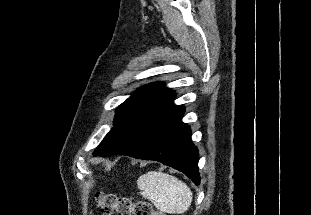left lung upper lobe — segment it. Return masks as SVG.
I'll return each instance as SVG.
<instances>
[{
	"instance_id": "5c2ea615",
	"label": "left lung upper lobe",
	"mask_w": 311,
	"mask_h": 215,
	"mask_svg": "<svg viewBox=\"0 0 311 215\" xmlns=\"http://www.w3.org/2000/svg\"><path fill=\"white\" fill-rule=\"evenodd\" d=\"M164 83L147 84L136 90L116 111L114 127L96 148L94 156H112L128 146L145 124L175 99Z\"/></svg>"
}]
</instances>
